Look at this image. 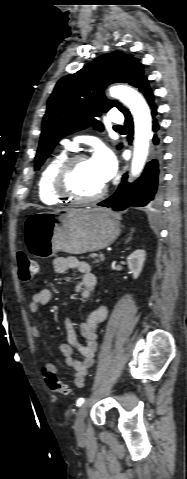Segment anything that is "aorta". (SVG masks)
I'll return each mask as SVG.
<instances>
[{"instance_id":"762f6f07","label":"aorta","mask_w":187,"mask_h":479,"mask_svg":"<svg viewBox=\"0 0 187 479\" xmlns=\"http://www.w3.org/2000/svg\"><path fill=\"white\" fill-rule=\"evenodd\" d=\"M110 95L125 104L134 117L135 142L131 172L135 176L141 173L148 156L149 141L152 137L150 109L143 97L132 88L126 86L112 87Z\"/></svg>"}]
</instances>
